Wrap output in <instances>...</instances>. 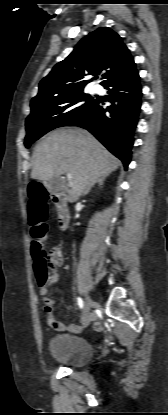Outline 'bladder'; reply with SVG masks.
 I'll list each match as a JSON object with an SVG mask.
<instances>
[{"label": "bladder", "instance_id": "31cf9c89", "mask_svg": "<svg viewBox=\"0 0 168 415\" xmlns=\"http://www.w3.org/2000/svg\"><path fill=\"white\" fill-rule=\"evenodd\" d=\"M49 350L53 361L70 368L83 367L93 357V349L86 340L66 333L53 336Z\"/></svg>", "mask_w": 168, "mask_h": 415}]
</instances>
